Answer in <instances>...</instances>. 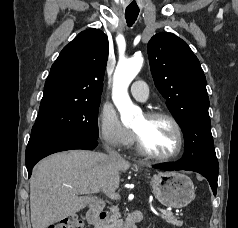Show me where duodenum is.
I'll return each mask as SVG.
<instances>
[{"instance_id":"obj_1","label":"duodenum","mask_w":238,"mask_h":228,"mask_svg":"<svg viewBox=\"0 0 238 228\" xmlns=\"http://www.w3.org/2000/svg\"><path fill=\"white\" fill-rule=\"evenodd\" d=\"M87 220L94 228H106L104 219L106 214L103 212V203L100 201L92 202L87 210ZM142 219L141 211L130 213L120 228H137V223Z\"/></svg>"}]
</instances>
